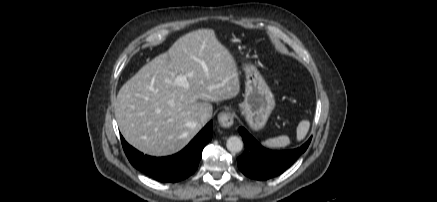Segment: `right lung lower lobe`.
<instances>
[{"label": "right lung lower lobe", "mask_w": 437, "mask_h": 202, "mask_svg": "<svg viewBox=\"0 0 437 202\" xmlns=\"http://www.w3.org/2000/svg\"><path fill=\"white\" fill-rule=\"evenodd\" d=\"M212 121H210L180 152L168 157H151L143 155L130 146L121 136L124 152L130 163L141 172L160 182H178L191 176L202 157L204 146L212 138Z\"/></svg>", "instance_id": "right-lung-lower-lobe-1"}]
</instances>
